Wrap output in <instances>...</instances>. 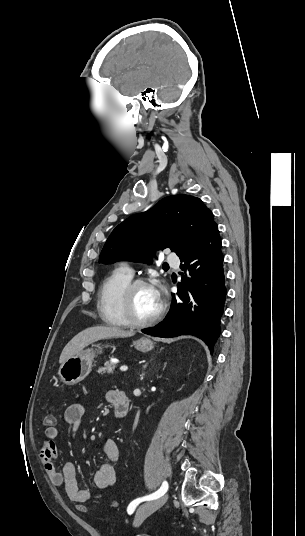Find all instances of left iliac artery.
<instances>
[{
  "label": "left iliac artery",
  "instance_id": "44dca946",
  "mask_svg": "<svg viewBox=\"0 0 305 536\" xmlns=\"http://www.w3.org/2000/svg\"><path fill=\"white\" fill-rule=\"evenodd\" d=\"M167 490H168V483L166 481H164L162 486L160 487V489L158 491H156L155 493H153L151 495H148V496H145V497H142V498H138V499L134 500L133 502H131L130 505L128 506V508H127L128 514H132L134 512V509L136 508V506L140 502L157 499V498L161 497L162 495H164L167 492Z\"/></svg>",
  "mask_w": 305,
  "mask_h": 536
}]
</instances>
